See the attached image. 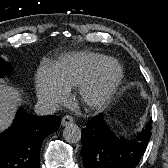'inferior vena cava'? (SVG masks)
Listing matches in <instances>:
<instances>
[{"label":"inferior vena cava","mask_w":168,"mask_h":168,"mask_svg":"<svg viewBox=\"0 0 168 168\" xmlns=\"http://www.w3.org/2000/svg\"><path fill=\"white\" fill-rule=\"evenodd\" d=\"M57 110V105L50 101L41 100L35 105L34 111L37 115H51Z\"/></svg>","instance_id":"obj_1"}]
</instances>
